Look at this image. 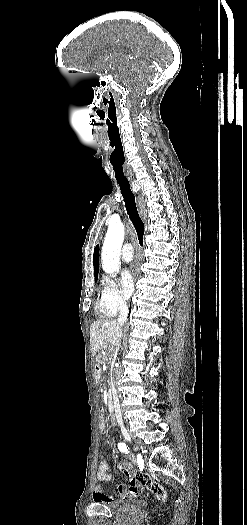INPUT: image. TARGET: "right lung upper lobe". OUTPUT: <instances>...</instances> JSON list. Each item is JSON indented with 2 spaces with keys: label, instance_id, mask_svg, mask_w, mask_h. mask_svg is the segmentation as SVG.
Here are the masks:
<instances>
[{
  "label": "right lung upper lobe",
  "instance_id": "1",
  "mask_svg": "<svg viewBox=\"0 0 247 525\" xmlns=\"http://www.w3.org/2000/svg\"><path fill=\"white\" fill-rule=\"evenodd\" d=\"M98 255H99V245H97L94 249V255H93V265H94V275H98Z\"/></svg>",
  "mask_w": 247,
  "mask_h": 525
}]
</instances>
